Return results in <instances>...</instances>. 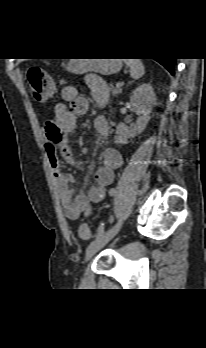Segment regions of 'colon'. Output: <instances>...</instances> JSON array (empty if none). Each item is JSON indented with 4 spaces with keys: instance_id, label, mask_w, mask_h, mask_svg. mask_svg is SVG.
Segmentation results:
<instances>
[{
    "instance_id": "obj_1",
    "label": "colon",
    "mask_w": 206,
    "mask_h": 348,
    "mask_svg": "<svg viewBox=\"0 0 206 348\" xmlns=\"http://www.w3.org/2000/svg\"><path fill=\"white\" fill-rule=\"evenodd\" d=\"M26 79L32 96L37 100L47 99L54 90L52 79L38 66H32L26 71ZM48 123H51V121H47L45 126ZM78 235L83 240H89L92 236L90 226L86 223L80 224L78 226Z\"/></svg>"
}]
</instances>
